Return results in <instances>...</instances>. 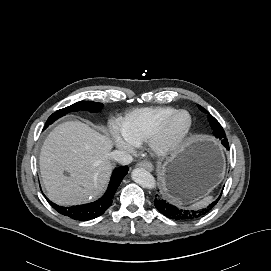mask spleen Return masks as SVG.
Returning a JSON list of instances; mask_svg holds the SVG:
<instances>
[{"mask_svg":"<svg viewBox=\"0 0 271 271\" xmlns=\"http://www.w3.org/2000/svg\"><path fill=\"white\" fill-rule=\"evenodd\" d=\"M212 201V196H205L202 200L195 202L192 204L193 209H199L207 206Z\"/></svg>","mask_w":271,"mask_h":271,"instance_id":"3e777b00","label":"spleen"}]
</instances>
